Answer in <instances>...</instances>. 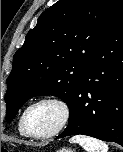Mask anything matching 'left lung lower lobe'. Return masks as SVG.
<instances>
[{"label":"left lung lower lobe","mask_w":123,"mask_h":152,"mask_svg":"<svg viewBox=\"0 0 123 152\" xmlns=\"http://www.w3.org/2000/svg\"><path fill=\"white\" fill-rule=\"evenodd\" d=\"M69 113L56 139L82 134L123 146V1L85 64Z\"/></svg>","instance_id":"0a47b994"}]
</instances>
